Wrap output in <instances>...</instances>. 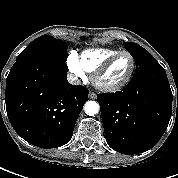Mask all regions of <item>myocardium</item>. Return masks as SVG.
<instances>
[{"instance_id":"1","label":"myocardium","mask_w":178,"mask_h":178,"mask_svg":"<svg viewBox=\"0 0 178 178\" xmlns=\"http://www.w3.org/2000/svg\"><path fill=\"white\" fill-rule=\"evenodd\" d=\"M123 55H128L132 61V67L128 75L119 83L114 85H104L100 82V77L103 73L111 66V64ZM136 70V60L134 55L129 51H119L118 53L112 55L107 60H105L93 73L92 80L97 89L106 93H114L123 89L132 79Z\"/></svg>"}]
</instances>
